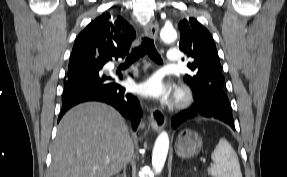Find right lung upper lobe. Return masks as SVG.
<instances>
[{
    "instance_id": "1",
    "label": "right lung upper lobe",
    "mask_w": 287,
    "mask_h": 177,
    "mask_svg": "<svg viewBox=\"0 0 287 177\" xmlns=\"http://www.w3.org/2000/svg\"><path fill=\"white\" fill-rule=\"evenodd\" d=\"M135 37V30L122 17L104 13L75 39L70 61L98 56L111 58L119 53L126 55Z\"/></svg>"
}]
</instances>
